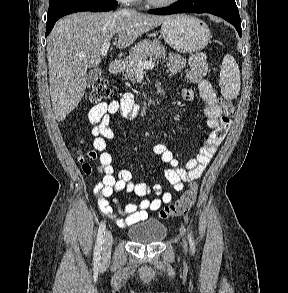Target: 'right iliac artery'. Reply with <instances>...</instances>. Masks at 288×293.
<instances>
[{"label": "right iliac artery", "mask_w": 288, "mask_h": 293, "mask_svg": "<svg viewBox=\"0 0 288 293\" xmlns=\"http://www.w3.org/2000/svg\"><path fill=\"white\" fill-rule=\"evenodd\" d=\"M104 235H105V222H102L98 229L97 241H96L95 249H94V263L95 264H98L101 258L100 253L102 250Z\"/></svg>", "instance_id": "right-iliac-artery-1"}]
</instances>
